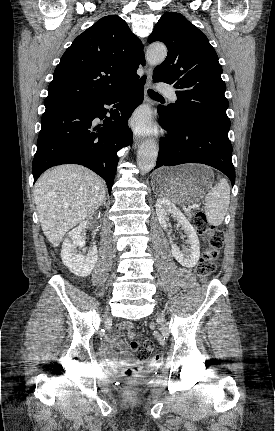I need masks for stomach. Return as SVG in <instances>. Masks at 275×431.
Listing matches in <instances>:
<instances>
[{"label":"stomach","instance_id":"stomach-1","mask_svg":"<svg viewBox=\"0 0 275 431\" xmlns=\"http://www.w3.org/2000/svg\"><path fill=\"white\" fill-rule=\"evenodd\" d=\"M213 171L201 164H185L157 170L152 177L153 190L178 205L195 204L212 188Z\"/></svg>","mask_w":275,"mask_h":431}]
</instances>
